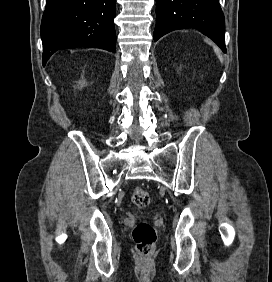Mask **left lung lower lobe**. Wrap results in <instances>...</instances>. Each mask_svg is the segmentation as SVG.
I'll return each instance as SVG.
<instances>
[{
  "mask_svg": "<svg viewBox=\"0 0 272 282\" xmlns=\"http://www.w3.org/2000/svg\"><path fill=\"white\" fill-rule=\"evenodd\" d=\"M183 28L198 29L226 53L224 15L219 0H156L154 41Z\"/></svg>",
  "mask_w": 272,
  "mask_h": 282,
  "instance_id": "obj_1",
  "label": "left lung lower lobe"
}]
</instances>
